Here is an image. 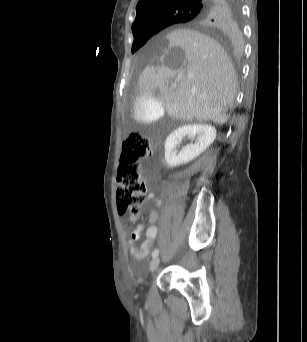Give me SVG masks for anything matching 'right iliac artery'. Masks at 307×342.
Here are the masks:
<instances>
[{
  "mask_svg": "<svg viewBox=\"0 0 307 342\" xmlns=\"http://www.w3.org/2000/svg\"><path fill=\"white\" fill-rule=\"evenodd\" d=\"M159 254V250L158 249H155L153 252H152V257H156L157 255Z\"/></svg>",
  "mask_w": 307,
  "mask_h": 342,
  "instance_id": "obj_1",
  "label": "right iliac artery"
}]
</instances>
